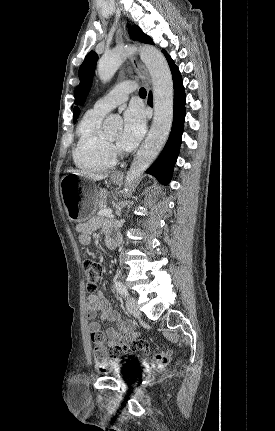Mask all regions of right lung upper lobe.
I'll return each mask as SVG.
<instances>
[{
  "instance_id": "1",
  "label": "right lung upper lobe",
  "mask_w": 275,
  "mask_h": 431,
  "mask_svg": "<svg viewBox=\"0 0 275 431\" xmlns=\"http://www.w3.org/2000/svg\"><path fill=\"white\" fill-rule=\"evenodd\" d=\"M73 113H74V123H75L76 122V118L79 116L80 111H79V109L77 107H75L74 110H73Z\"/></svg>"
}]
</instances>
